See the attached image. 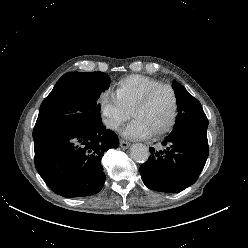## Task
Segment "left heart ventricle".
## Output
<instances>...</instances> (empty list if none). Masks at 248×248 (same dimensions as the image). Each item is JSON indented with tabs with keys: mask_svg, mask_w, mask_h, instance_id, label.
Instances as JSON below:
<instances>
[{
	"mask_svg": "<svg viewBox=\"0 0 248 248\" xmlns=\"http://www.w3.org/2000/svg\"><path fill=\"white\" fill-rule=\"evenodd\" d=\"M173 97L168 89L157 91L148 104L136 110L132 117L140 121L150 134L164 127L172 114Z\"/></svg>",
	"mask_w": 248,
	"mask_h": 248,
	"instance_id": "left-heart-ventricle-1",
	"label": "left heart ventricle"
}]
</instances>
